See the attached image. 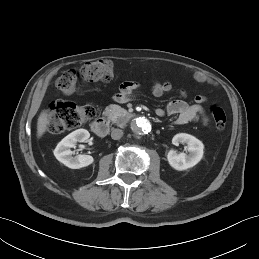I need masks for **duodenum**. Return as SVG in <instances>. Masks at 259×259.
<instances>
[{"label": "duodenum", "mask_w": 259, "mask_h": 259, "mask_svg": "<svg viewBox=\"0 0 259 259\" xmlns=\"http://www.w3.org/2000/svg\"><path fill=\"white\" fill-rule=\"evenodd\" d=\"M124 115L127 118L133 117V114L128 111L124 112ZM91 128L96 135L105 136L109 131V123L105 118L100 117L93 121Z\"/></svg>", "instance_id": "duodenum-1"}]
</instances>
